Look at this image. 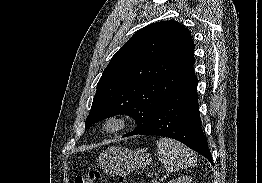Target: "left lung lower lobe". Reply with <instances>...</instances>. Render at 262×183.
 <instances>
[{
    "instance_id": "obj_1",
    "label": "left lung lower lobe",
    "mask_w": 262,
    "mask_h": 183,
    "mask_svg": "<svg viewBox=\"0 0 262 183\" xmlns=\"http://www.w3.org/2000/svg\"><path fill=\"white\" fill-rule=\"evenodd\" d=\"M196 87L197 77L192 67L174 92L160 104L147 127L137 134L176 139L213 163L201 128Z\"/></svg>"
}]
</instances>
